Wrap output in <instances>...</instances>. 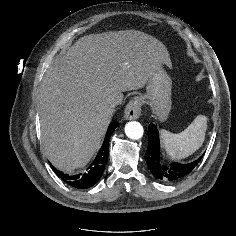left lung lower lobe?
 Instances as JSON below:
<instances>
[{
  "mask_svg": "<svg viewBox=\"0 0 236 236\" xmlns=\"http://www.w3.org/2000/svg\"><path fill=\"white\" fill-rule=\"evenodd\" d=\"M145 158L150 171L157 179L164 182H174L189 174L202 157L186 164L177 162L165 164L160 158L159 132L155 124H150Z\"/></svg>",
  "mask_w": 236,
  "mask_h": 236,
  "instance_id": "left-lung-lower-lobe-1",
  "label": "left lung lower lobe"
}]
</instances>
